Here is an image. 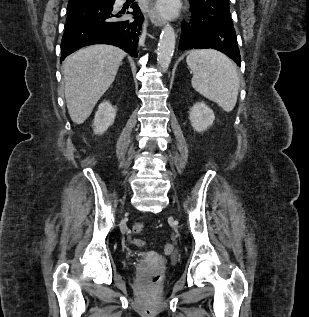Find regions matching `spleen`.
<instances>
[{
	"label": "spleen",
	"mask_w": 309,
	"mask_h": 317,
	"mask_svg": "<svg viewBox=\"0 0 309 317\" xmlns=\"http://www.w3.org/2000/svg\"><path fill=\"white\" fill-rule=\"evenodd\" d=\"M186 62L193 73L192 87L224 111L231 112L236 105L240 85L235 64L212 49L191 51Z\"/></svg>",
	"instance_id": "spleen-1"
}]
</instances>
